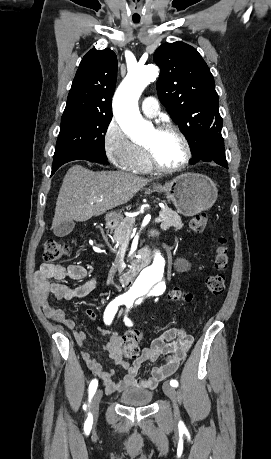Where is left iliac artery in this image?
I'll return each instance as SVG.
<instances>
[{"label":"left iliac artery","mask_w":271,"mask_h":459,"mask_svg":"<svg viewBox=\"0 0 271 459\" xmlns=\"http://www.w3.org/2000/svg\"><path fill=\"white\" fill-rule=\"evenodd\" d=\"M126 306H129V305L127 304ZM127 312L129 313L130 311L128 310ZM124 321H125L126 325L132 326V322L127 317L124 318ZM170 385L173 386V387H177L178 386V382L176 380H171L170 381Z\"/></svg>","instance_id":"left-iliac-artery-1"}]
</instances>
